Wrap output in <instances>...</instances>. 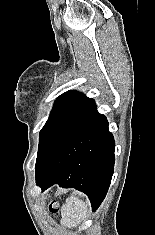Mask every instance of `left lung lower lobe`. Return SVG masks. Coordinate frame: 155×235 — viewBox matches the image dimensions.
<instances>
[{
  "instance_id": "1",
  "label": "left lung lower lobe",
  "mask_w": 155,
  "mask_h": 235,
  "mask_svg": "<svg viewBox=\"0 0 155 235\" xmlns=\"http://www.w3.org/2000/svg\"><path fill=\"white\" fill-rule=\"evenodd\" d=\"M113 135L106 117L94 111L49 155L36 173L42 191L54 184L86 193L95 211L104 200L114 170Z\"/></svg>"
}]
</instances>
